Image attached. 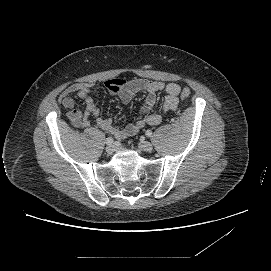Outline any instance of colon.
Here are the masks:
<instances>
[{"instance_id": "obj_1", "label": "colon", "mask_w": 271, "mask_h": 271, "mask_svg": "<svg viewBox=\"0 0 271 271\" xmlns=\"http://www.w3.org/2000/svg\"><path fill=\"white\" fill-rule=\"evenodd\" d=\"M191 94V91L189 88H184L182 89L181 93H180V97L181 99H187Z\"/></svg>"}]
</instances>
